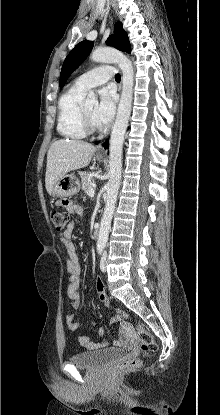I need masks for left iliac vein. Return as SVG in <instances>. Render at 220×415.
I'll list each match as a JSON object with an SVG mask.
<instances>
[{
	"label": "left iliac vein",
	"mask_w": 220,
	"mask_h": 415,
	"mask_svg": "<svg viewBox=\"0 0 220 415\" xmlns=\"http://www.w3.org/2000/svg\"><path fill=\"white\" fill-rule=\"evenodd\" d=\"M106 264H107V252L104 251L102 258H101V262H100V269L102 272L106 271Z\"/></svg>",
	"instance_id": "obj_1"
}]
</instances>
